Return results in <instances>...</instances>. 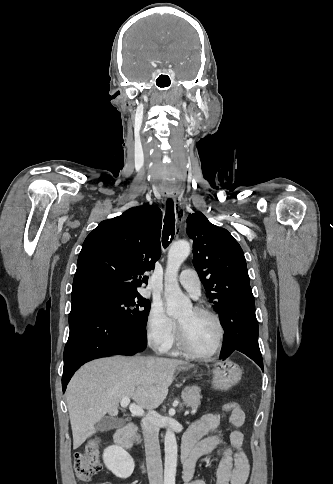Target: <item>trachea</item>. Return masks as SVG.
I'll return each mask as SVG.
<instances>
[{"label": "trachea", "instance_id": "obj_1", "mask_svg": "<svg viewBox=\"0 0 333 484\" xmlns=\"http://www.w3.org/2000/svg\"><path fill=\"white\" fill-rule=\"evenodd\" d=\"M168 156L172 155L171 151L167 152ZM166 214L164 217V226H163V235H162V244L163 247L166 248L175 235V214H174V204L172 199H168L166 203ZM178 232V230H177Z\"/></svg>", "mask_w": 333, "mask_h": 484}]
</instances>
